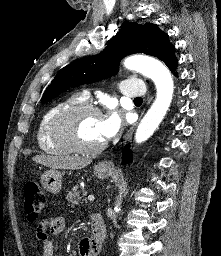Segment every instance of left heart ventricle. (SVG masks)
<instances>
[{"instance_id":"left-heart-ventricle-1","label":"left heart ventricle","mask_w":221,"mask_h":256,"mask_svg":"<svg viewBox=\"0 0 221 256\" xmlns=\"http://www.w3.org/2000/svg\"><path fill=\"white\" fill-rule=\"evenodd\" d=\"M101 116L87 114L82 116L76 127V136L80 144L92 147L104 141L100 133Z\"/></svg>"}]
</instances>
